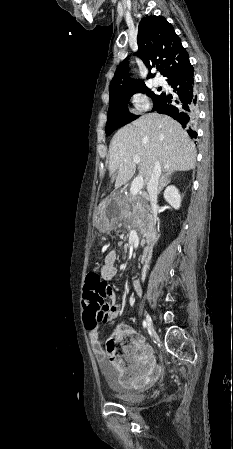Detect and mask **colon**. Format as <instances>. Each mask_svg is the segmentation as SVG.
<instances>
[{
	"label": "colon",
	"mask_w": 233,
	"mask_h": 449,
	"mask_svg": "<svg viewBox=\"0 0 233 449\" xmlns=\"http://www.w3.org/2000/svg\"><path fill=\"white\" fill-rule=\"evenodd\" d=\"M103 282L98 270H91L86 274L84 282V299L82 318L85 328H100L104 317L103 303L108 300L102 297ZM130 347L133 344V335L128 327H121L117 334L107 344V352L113 360L118 358V344Z\"/></svg>",
	"instance_id": "colon-1"
}]
</instances>
